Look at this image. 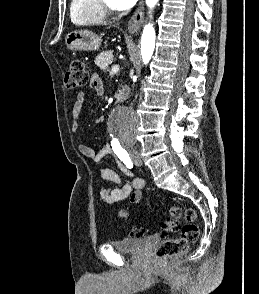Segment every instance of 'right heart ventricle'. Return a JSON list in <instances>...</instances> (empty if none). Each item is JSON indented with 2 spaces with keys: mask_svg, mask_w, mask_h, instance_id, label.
I'll list each match as a JSON object with an SVG mask.
<instances>
[{
  "mask_svg": "<svg viewBox=\"0 0 259 294\" xmlns=\"http://www.w3.org/2000/svg\"><path fill=\"white\" fill-rule=\"evenodd\" d=\"M70 19L78 26L97 25L105 20V15L97 0H71Z\"/></svg>",
  "mask_w": 259,
  "mask_h": 294,
  "instance_id": "e07e8e85",
  "label": "right heart ventricle"
}]
</instances>
